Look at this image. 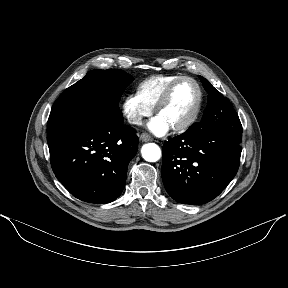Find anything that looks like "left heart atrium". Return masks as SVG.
<instances>
[{
    "label": "left heart atrium",
    "instance_id": "left-heart-atrium-1",
    "mask_svg": "<svg viewBox=\"0 0 288 288\" xmlns=\"http://www.w3.org/2000/svg\"><path fill=\"white\" fill-rule=\"evenodd\" d=\"M149 129L154 132L157 135H163L165 134L170 126L168 123H166L161 117L157 116L153 118L149 124H148Z\"/></svg>",
    "mask_w": 288,
    "mask_h": 288
}]
</instances>
